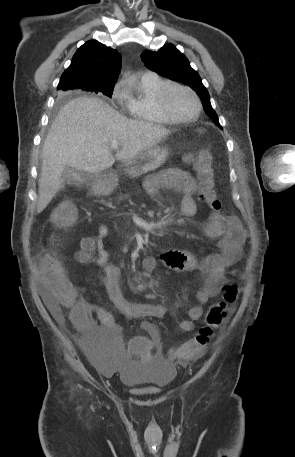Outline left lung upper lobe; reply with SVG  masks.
I'll return each instance as SVG.
<instances>
[{"instance_id":"1","label":"left lung upper lobe","mask_w":295,"mask_h":457,"mask_svg":"<svg viewBox=\"0 0 295 457\" xmlns=\"http://www.w3.org/2000/svg\"><path fill=\"white\" fill-rule=\"evenodd\" d=\"M141 58L147 68L159 75L188 84L200 97L205 113L220 126L199 74L191 68L188 59L173 44H166L157 52L144 51Z\"/></svg>"}]
</instances>
